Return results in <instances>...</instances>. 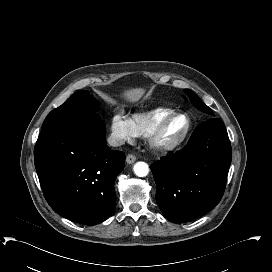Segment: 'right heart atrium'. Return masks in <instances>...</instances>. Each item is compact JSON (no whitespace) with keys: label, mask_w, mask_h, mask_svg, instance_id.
Instances as JSON below:
<instances>
[{"label":"right heart atrium","mask_w":272,"mask_h":272,"mask_svg":"<svg viewBox=\"0 0 272 272\" xmlns=\"http://www.w3.org/2000/svg\"><path fill=\"white\" fill-rule=\"evenodd\" d=\"M110 133L114 142L122 144L133 139L137 135V130L133 119L118 111L111 119Z\"/></svg>","instance_id":"obj_1"}]
</instances>
